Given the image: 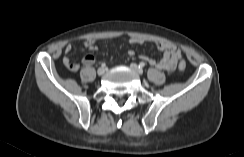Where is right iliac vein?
I'll list each match as a JSON object with an SVG mask.
<instances>
[{"instance_id": "1", "label": "right iliac vein", "mask_w": 244, "mask_h": 157, "mask_svg": "<svg viewBox=\"0 0 244 157\" xmlns=\"http://www.w3.org/2000/svg\"><path fill=\"white\" fill-rule=\"evenodd\" d=\"M104 73H105V68H104V67H100V68L97 70V74H98L99 76H102Z\"/></svg>"}]
</instances>
